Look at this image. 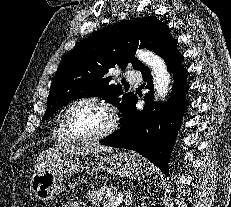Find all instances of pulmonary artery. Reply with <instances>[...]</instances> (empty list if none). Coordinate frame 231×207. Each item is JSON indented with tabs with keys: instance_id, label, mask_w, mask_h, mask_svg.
<instances>
[{
	"instance_id": "e3ab8cb5",
	"label": "pulmonary artery",
	"mask_w": 231,
	"mask_h": 207,
	"mask_svg": "<svg viewBox=\"0 0 231 207\" xmlns=\"http://www.w3.org/2000/svg\"><path fill=\"white\" fill-rule=\"evenodd\" d=\"M125 77L126 79L131 82V83H138L140 81V73L138 71L135 70H126L125 71Z\"/></svg>"
}]
</instances>
